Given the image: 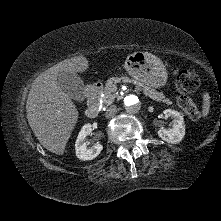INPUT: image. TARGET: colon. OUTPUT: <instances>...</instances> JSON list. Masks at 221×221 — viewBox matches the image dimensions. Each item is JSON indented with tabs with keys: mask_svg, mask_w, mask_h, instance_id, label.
<instances>
[{
	"mask_svg": "<svg viewBox=\"0 0 221 221\" xmlns=\"http://www.w3.org/2000/svg\"><path fill=\"white\" fill-rule=\"evenodd\" d=\"M172 74L178 92V106L193 120L201 118V112L194 103L191 94L200 86L199 77L192 71L174 67Z\"/></svg>",
	"mask_w": 221,
	"mask_h": 221,
	"instance_id": "1",
	"label": "colon"
}]
</instances>
